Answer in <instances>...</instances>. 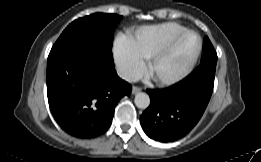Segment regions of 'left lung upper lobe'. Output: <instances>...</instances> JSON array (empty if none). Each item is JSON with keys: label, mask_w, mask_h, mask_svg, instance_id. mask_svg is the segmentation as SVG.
Masks as SVG:
<instances>
[{"label": "left lung upper lobe", "mask_w": 261, "mask_h": 162, "mask_svg": "<svg viewBox=\"0 0 261 162\" xmlns=\"http://www.w3.org/2000/svg\"><path fill=\"white\" fill-rule=\"evenodd\" d=\"M205 62H217V53L208 37L204 38L203 53L200 64Z\"/></svg>", "instance_id": "5c2ea615"}]
</instances>
